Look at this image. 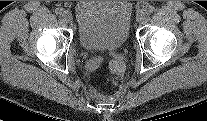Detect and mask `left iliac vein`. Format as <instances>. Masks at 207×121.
<instances>
[{
    "label": "left iliac vein",
    "instance_id": "obj_1",
    "mask_svg": "<svg viewBox=\"0 0 207 121\" xmlns=\"http://www.w3.org/2000/svg\"><path fill=\"white\" fill-rule=\"evenodd\" d=\"M145 19V14L143 11L137 13L136 20L137 22H142Z\"/></svg>",
    "mask_w": 207,
    "mask_h": 121
}]
</instances>
